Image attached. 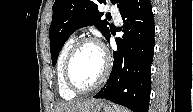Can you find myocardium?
Listing matches in <instances>:
<instances>
[{
  "label": "myocardium",
  "mask_w": 193,
  "mask_h": 112,
  "mask_svg": "<svg viewBox=\"0 0 193 112\" xmlns=\"http://www.w3.org/2000/svg\"><path fill=\"white\" fill-rule=\"evenodd\" d=\"M86 44H95L100 48L103 54V58H104V66H103V70H102L100 77L93 85L87 88H80L72 80L70 70H71V63H72L74 55L82 46ZM110 69H111V57L106 47L104 46V44L95 37H84V38L77 40L70 48L66 56L65 62H64L63 73H64L65 83L70 91H72L75 94H86V93L96 90L106 81L110 73Z\"/></svg>",
  "instance_id": "1"
}]
</instances>
